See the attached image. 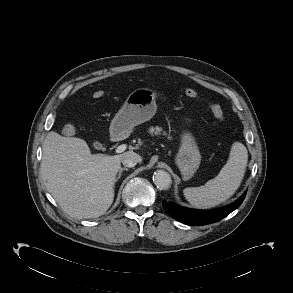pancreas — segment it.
I'll return each instance as SVG.
<instances>
[{"mask_svg": "<svg viewBox=\"0 0 293 293\" xmlns=\"http://www.w3.org/2000/svg\"><path fill=\"white\" fill-rule=\"evenodd\" d=\"M161 131H162V129L160 127H158V126H156L155 128L151 127L149 129V132L151 133V135H153V134L158 135V134H160Z\"/></svg>", "mask_w": 293, "mask_h": 293, "instance_id": "pancreas-1", "label": "pancreas"}]
</instances>
